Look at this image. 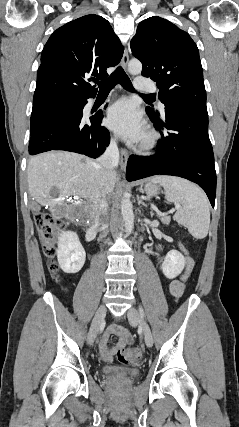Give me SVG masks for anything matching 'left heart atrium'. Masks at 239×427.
<instances>
[{"mask_svg":"<svg viewBox=\"0 0 239 427\" xmlns=\"http://www.w3.org/2000/svg\"><path fill=\"white\" fill-rule=\"evenodd\" d=\"M107 125L120 137L133 142L141 139L145 133L142 117L128 99H121L110 107Z\"/></svg>","mask_w":239,"mask_h":427,"instance_id":"left-heart-atrium-1","label":"left heart atrium"}]
</instances>
